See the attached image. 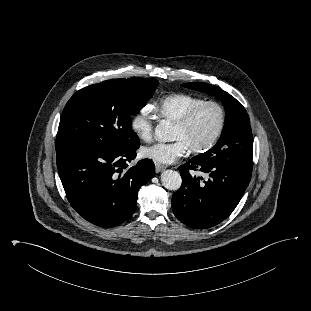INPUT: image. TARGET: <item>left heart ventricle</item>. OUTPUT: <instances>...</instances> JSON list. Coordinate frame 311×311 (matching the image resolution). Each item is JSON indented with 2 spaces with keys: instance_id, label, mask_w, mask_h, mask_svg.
Returning a JSON list of instances; mask_svg holds the SVG:
<instances>
[{
  "instance_id": "left-heart-ventricle-1",
  "label": "left heart ventricle",
  "mask_w": 311,
  "mask_h": 311,
  "mask_svg": "<svg viewBox=\"0 0 311 311\" xmlns=\"http://www.w3.org/2000/svg\"><path fill=\"white\" fill-rule=\"evenodd\" d=\"M218 121V111L211 106L205 107L188 128L182 129L175 125L172 138L174 140H182L189 148L201 145L213 135Z\"/></svg>"
}]
</instances>
